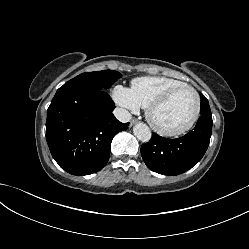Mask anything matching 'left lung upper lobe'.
<instances>
[{
	"instance_id": "obj_1",
	"label": "left lung upper lobe",
	"mask_w": 249,
	"mask_h": 249,
	"mask_svg": "<svg viewBox=\"0 0 249 249\" xmlns=\"http://www.w3.org/2000/svg\"><path fill=\"white\" fill-rule=\"evenodd\" d=\"M200 97H201L200 114H202V115L203 114H211V110H210L207 98L203 94H200Z\"/></svg>"
}]
</instances>
